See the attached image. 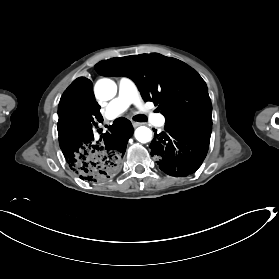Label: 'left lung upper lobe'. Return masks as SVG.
Segmentation results:
<instances>
[{
    "mask_svg": "<svg viewBox=\"0 0 279 279\" xmlns=\"http://www.w3.org/2000/svg\"><path fill=\"white\" fill-rule=\"evenodd\" d=\"M103 76L132 79L145 101H153L166 125L212 128V105L200 75L184 62L158 53L104 60L95 65Z\"/></svg>",
    "mask_w": 279,
    "mask_h": 279,
    "instance_id": "left-lung-upper-lobe-1",
    "label": "left lung upper lobe"
}]
</instances>
